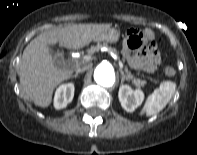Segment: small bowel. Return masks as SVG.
<instances>
[{
  "label": "small bowel",
  "instance_id": "small-bowel-1",
  "mask_svg": "<svg viewBox=\"0 0 197 155\" xmlns=\"http://www.w3.org/2000/svg\"><path fill=\"white\" fill-rule=\"evenodd\" d=\"M146 32L152 37L151 32ZM123 54L126 57L128 64L138 71H154L160 65V56L154 45L151 46L150 50L139 55H134L131 53V49L128 46L127 38H125Z\"/></svg>",
  "mask_w": 197,
  "mask_h": 155
}]
</instances>
